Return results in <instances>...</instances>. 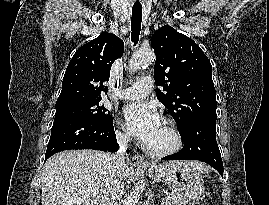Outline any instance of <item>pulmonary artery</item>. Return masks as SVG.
I'll list each match as a JSON object with an SVG mask.
<instances>
[{
  "label": "pulmonary artery",
  "instance_id": "pulmonary-artery-1",
  "mask_svg": "<svg viewBox=\"0 0 269 205\" xmlns=\"http://www.w3.org/2000/svg\"><path fill=\"white\" fill-rule=\"evenodd\" d=\"M153 87V80L149 77L140 78L131 87L117 94L119 99H142L149 95Z\"/></svg>",
  "mask_w": 269,
  "mask_h": 205
}]
</instances>
